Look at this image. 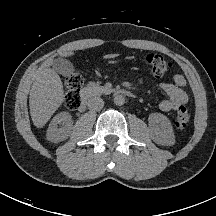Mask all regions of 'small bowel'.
<instances>
[{
  "instance_id": "small-bowel-1",
  "label": "small bowel",
  "mask_w": 216,
  "mask_h": 216,
  "mask_svg": "<svg viewBox=\"0 0 216 216\" xmlns=\"http://www.w3.org/2000/svg\"><path fill=\"white\" fill-rule=\"evenodd\" d=\"M186 80L182 75H174L170 81L161 83V89L167 98L159 103V108L164 112L178 110L188 103V95L184 91Z\"/></svg>"
}]
</instances>
